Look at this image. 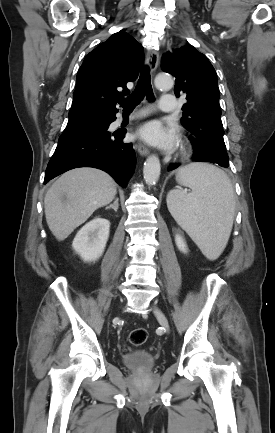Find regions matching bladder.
<instances>
[{
  "label": "bladder",
  "mask_w": 275,
  "mask_h": 433,
  "mask_svg": "<svg viewBox=\"0 0 275 433\" xmlns=\"http://www.w3.org/2000/svg\"><path fill=\"white\" fill-rule=\"evenodd\" d=\"M122 360L127 368L135 370L149 369L155 364L154 355L147 350L127 352L123 355Z\"/></svg>",
  "instance_id": "obj_1"
}]
</instances>
